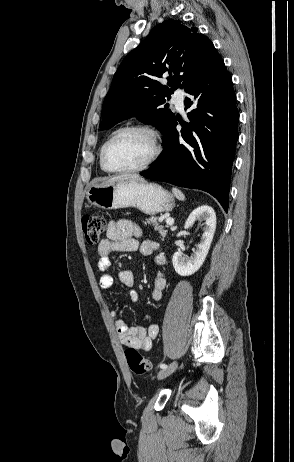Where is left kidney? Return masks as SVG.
<instances>
[{
    "label": "left kidney",
    "instance_id": "1",
    "mask_svg": "<svg viewBox=\"0 0 294 462\" xmlns=\"http://www.w3.org/2000/svg\"><path fill=\"white\" fill-rule=\"evenodd\" d=\"M204 221L203 234L197 249L190 257L181 252H175L172 258L173 267L181 276L194 274L203 265L209 252L216 229V214L210 206L203 205L194 209L185 222V229L193 226L196 221Z\"/></svg>",
    "mask_w": 294,
    "mask_h": 462
}]
</instances>
